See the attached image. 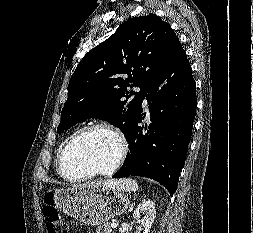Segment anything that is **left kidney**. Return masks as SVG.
<instances>
[{
	"label": "left kidney",
	"instance_id": "left-kidney-1",
	"mask_svg": "<svg viewBox=\"0 0 253 233\" xmlns=\"http://www.w3.org/2000/svg\"><path fill=\"white\" fill-rule=\"evenodd\" d=\"M145 216L140 219L141 215ZM156 216L155 204L151 200H143L133 212V218L135 221L141 223L143 226V233H148L153 225Z\"/></svg>",
	"mask_w": 253,
	"mask_h": 233
}]
</instances>
